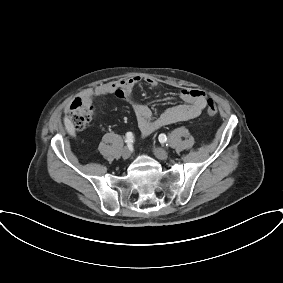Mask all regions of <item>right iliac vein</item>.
<instances>
[{
  "label": "right iliac vein",
  "instance_id": "obj_1",
  "mask_svg": "<svg viewBox=\"0 0 283 283\" xmlns=\"http://www.w3.org/2000/svg\"><path fill=\"white\" fill-rule=\"evenodd\" d=\"M130 156H131V151L127 147L123 148L122 157L124 159H128Z\"/></svg>",
  "mask_w": 283,
  "mask_h": 283
}]
</instances>
